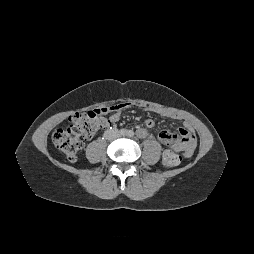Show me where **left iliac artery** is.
<instances>
[{
  "label": "left iliac artery",
  "instance_id": "44dca946",
  "mask_svg": "<svg viewBox=\"0 0 254 254\" xmlns=\"http://www.w3.org/2000/svg\"><path fill=\"white\" fill-rule=\"evenodd\" d=\"M127 135H128L129 137H133V136H134V132H133L132 130H129V131L127 132Z\"/></svg>",
  "mask_w": 254,
  "mask_h": 254
}]
</instances>
